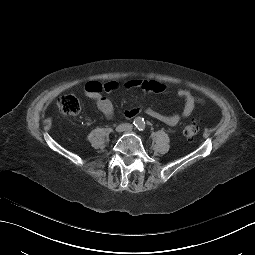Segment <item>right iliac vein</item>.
I'll use <instances>...</instances> for the list:
<instances>
[{
  "mask_svg": "<svg viewBox=\"0 0 255 255\" xmlns=\"http://www.w3.org/2000/svg\"><path fill=\"white\" fill-rule=\"evenodd\" d=\"M126 130V126L124 124H121L116 127V132L121 133Z\"/></svg>",
  "mask_w": 255,
  "mask_h": 255,
  "instance_id": "63e3f726",
  "label": "right iliac vein"
}]
</instances>
